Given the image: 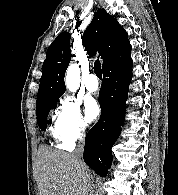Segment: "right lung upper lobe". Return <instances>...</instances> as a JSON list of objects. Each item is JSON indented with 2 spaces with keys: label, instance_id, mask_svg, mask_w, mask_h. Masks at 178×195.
Returning <instances> with one entry per match:
<instances>
[{
  "label": "right lung upper lobe",
  "instance_id": "1",
  "mask_svg": "<svg viewBox=\"0 0 178 195\" xmlns=\"http://www.w3.org/2000/svg\"><path fill=\"white\" fill-rule=\"evenodd\" d=\"M85 50L103 59V74L131 64V45L126 31L105 9H99L82 37ZM70 34L63 32L49 46L42 67L37 106L58 100L66 90L64 76L71 59Z\"/></svg>",
  "mask_w": 178,
  "mask_h": 195
}]
</instances>
